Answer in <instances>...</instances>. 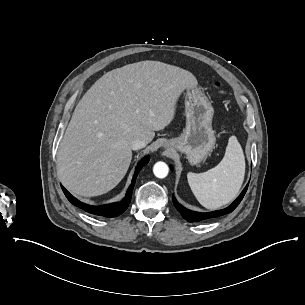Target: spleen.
Returning <instances> with one entry per match:
<instances>
[{
	"label": "spleen",
	"instance_id": "obj_1",
	"mask_svg": "<svg viewBox=\"0 0 305 305\" xmlns=\"http://www.w3.org/2000/svg\"><path fill=\"white\" fill-rule=\"evenodd\" d=\"M245 157L236 136H231L221 162L204 173L187 174L189 186L199 203L215 210L231 202L244 181Z\"/></svg>",
	"mask_w": 305,
	"mask_h": 305
}]
</instances>
